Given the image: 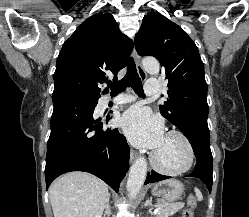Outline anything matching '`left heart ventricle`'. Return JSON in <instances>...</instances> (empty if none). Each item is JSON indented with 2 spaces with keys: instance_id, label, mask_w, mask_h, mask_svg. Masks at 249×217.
<instances>
[{
  "instance_id": "left-heart-ventricle-1",
  "label": "left heart ventricle",
  "mask_w": 249,
  "mask_h": 217,
  "mask_svg": "<svg viewBox=\"0 0 249 217\" xmlns=\"http://www.w3.org/2000/svg\"><path fill=\"white\" fill-rule=\"evenodd\" d=\"M155 152L158 161L168 168L182 166L187 156L183 143L176 137H164L163 142Z\"/></svg>"
}]
</instances>
